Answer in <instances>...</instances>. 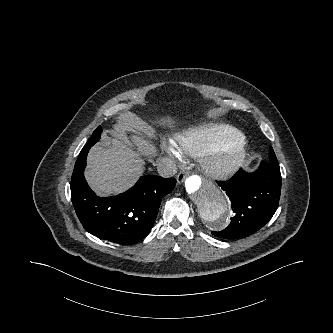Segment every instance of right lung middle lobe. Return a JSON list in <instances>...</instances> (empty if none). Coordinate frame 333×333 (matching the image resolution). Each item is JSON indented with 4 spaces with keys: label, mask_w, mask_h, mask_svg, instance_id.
<instances>
[{
    "label": "right lung middle lobe",
    "mask_w": 333,
    "mask_h": 333,
    "mask_svg": "<svg viewBox=\"0 0 333 333\" xmlns=\"http://www.w3.org/2000/svg\"><path fill=\"white\" fill-rule=\"evenodd\" d=\"M102 132V128L99 126L92 134V137L88 140L87 143L95 144L100 139V134Z\"/></svg>",
    "instance_id": "obj_1"
}]
</instances>
